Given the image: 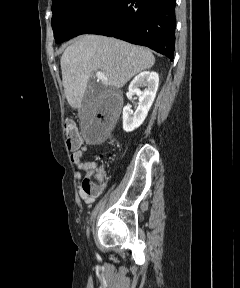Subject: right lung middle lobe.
<instances>
[{
    "label": "right lung middle lobe",
    "instance_id": "dd1d6c3e",
    "mask_svg": "<svg viewBox=\"0 0 240 288\" xmlns=\"http://www.w3.org/2000/svg\"><path fill=\"white\" fill-rule=\"evenodd\" d=\"M112 0H53L52 28L56 43L78 36Z\"/></svg>",
    "mask_w": 240,
    "mask_h": 288
}]
</instances>
